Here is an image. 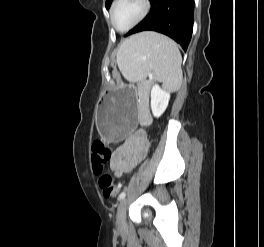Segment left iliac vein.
<instances>
[{
  "mask_svg": "<svg viewBox=\"0 0 264 247\" xmlns=\"http://www.w3.org/2000/svg\"><path fill=\"white\" fill-rule=\"evenodd\" d=\"M128 200L126 198L122 199L117 208L116 220L120 230L126 228V208Z\"/></svg>",
  "mask_w": 264,
  "mask_h": 247,
  "instance_id": "4c4485c4",
  "label": "left iliac vein"
}]
</instances>
